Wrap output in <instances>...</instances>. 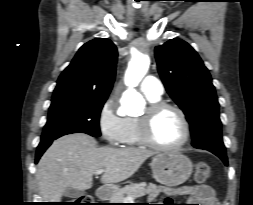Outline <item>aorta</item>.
I'll use <instances>...</instances> for the list:
<instances>
[{"label":"aorta","instance_id":"762f6f07","mask_svg":"<svg viewBox=\"0 0 253 205\" xmlns=\"http://www.w3.org/2000/svg\"><path fill=\"white\" fill-rule=\"evenodd\" d=\"M149 65L150 58L147 54L140 51H136L133 54L125 76V83L129 87L124 103L127 112H135L143 104L142 96L134 88L146 74Z\"/></svg>","mask_w":253,"mask_h":205}]
</instances>
